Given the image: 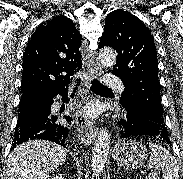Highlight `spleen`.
Listing matches in <instances>:
<instances>
[{"label":"spleen","instance_id":"obj_1","mask_svg":"<svg viewBox=\"0 0 183 179\" xmlns=\"http://www.w3.org/2000/svg\"><path fill=\"white\" fill-rule=\"evenodd\" d=\"M151 152L147 163L149 169H160L163 179H178L179 167L174 156L163 146L149 143Z\"/></svg>","mask_w":183,"mask_h":179}]
</instances>
